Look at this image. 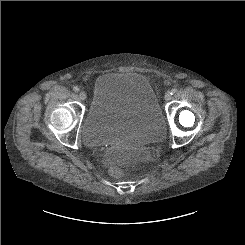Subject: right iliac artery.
Here are the masks:
<instances>
[{
    "mask_svg": "<svg viewBox=\"0 0 245 245\" xmlns=\"http://www.w3.org/2000/svg\"><path fill=\"white\" fill-rule=\"evenodd\" d=\"M73 90H74L75 92H78V91H79V88H78L77 86H75V87L73 88Z\"/></svg>",
    "mask_w": 245,
    "mask_h": 245,
    "instance_id": "82829eb1",
    "label": "right iliac artery"
}]
</instances>
